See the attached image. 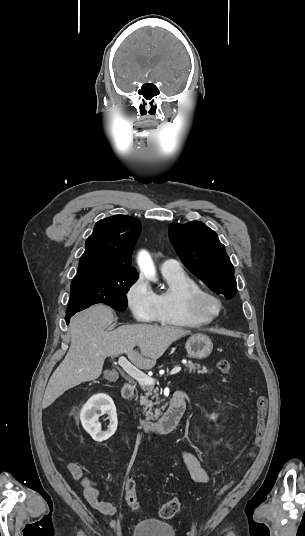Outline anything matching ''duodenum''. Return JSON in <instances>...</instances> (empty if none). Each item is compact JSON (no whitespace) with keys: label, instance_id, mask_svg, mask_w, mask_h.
<instances>
[{"label":"duodenum","instance_id":"410a0bca","mask_svg":"<svg viewBox=\"0 0 305 536\" xmlns=\"http://www.w3.org/2000/svg\"><path fill=\"white\" fill-rule=\"evenodd\" d=\"M121 395L125 400H129L133 395L132 386L130 384L124 385ZM185 404V393L181 390L174 392L166 413L155 423L139 421V428L150 435L168 434L178 425L185 411Z\"/></svg>","mask_w":305,"mask_h":536}]
</instances>
